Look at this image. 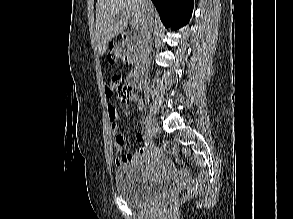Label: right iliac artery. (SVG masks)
<instances>
[{
	"label": "right iliac artery",
	"mask_w": 293,
	"mask_h": 219,
	"mask_svg": "<svg viewBox=\"0 0 293 219\" xmlns=\"http://www.w3.org/2000/svg\"><path fill=\"white\" fill-rule=\"evenodd\" d=\"M144 130H145V134H147V135H149V134H150V130L148 129V127H147V126L145 127V129H144Z\"/></svg>",
	"instance_id": "1"
}]
</instances>
